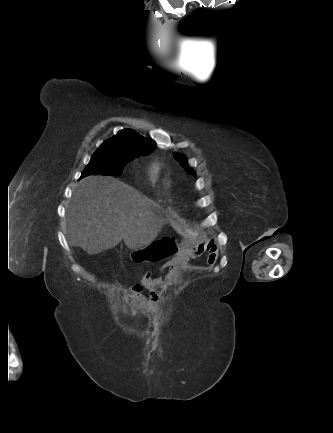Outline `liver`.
<instances>
[{
  "instance_id": "liver-1",
  "label": "liver",
  "mask_w": 333,
  "mask_h": 433,
  "mask_svg": "<svg viewBox=\"0 0 333 433\" xmlns=\"http://www.w3.org/2000/svg\"><path fill=\"white\" fill-rule=\"evenodd\" d=\"M154 203L131 186L108 176H88L76 184L67 210L69 242L90 255L124 240L136 250L149 245L164 224Z\"/></svg>"
}]
</instances>
